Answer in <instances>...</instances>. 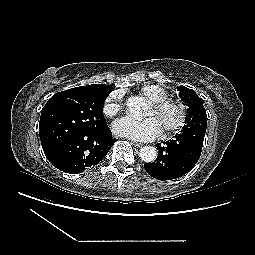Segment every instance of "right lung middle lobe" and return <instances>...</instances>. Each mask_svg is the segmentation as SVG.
Returning <instances> with one entry per match:
<instances>
[{"label":"right lung middle lobe","mask_w":255,"mask_h":255,"mask_svg":"<svg viewBox=\"0 0 255 255\" xmlns=\"http://www.w3.org/2000/svg\"><path fill=\"white\" fill-rule=\"evenodd\" d=\"M110 92L73 90L53 95L41 111L39 135L47 158L71 137L102 129V106Z\"/></svg>","instance_id":"dd1d6c3e"}]
</instances>
